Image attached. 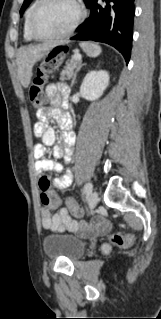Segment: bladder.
<instances>
[{"label":"bladder","mask_w":161,"mask_h":319,"mask_svg":"<svg viewBox=\"0 0 161 319\" xmlns=\"http://www.w3.org/2000/svg\"><path fill=\"white\" fill-rule=\"evenodd\" d=\"M43 247L50 258L75 260L84 255L86 243L73 235H48L43 240Z\"/></svg>","instance_id":"obj_1"}]
</instances>
